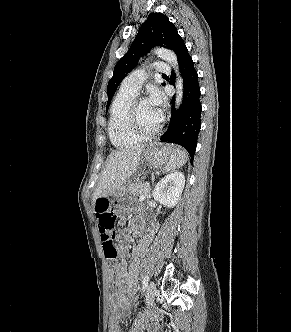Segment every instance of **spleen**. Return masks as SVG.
<instances>
[{"instance_id":"spleen-1","label":"spleen","mask_w":291,"mask_h":332,"mask_svg":"<svg viewBox=\"0 0 291 332\" xmlns=\"http://www.w3.org/2000/svg\"><path fill=\"white\" fill-rule=\"evenodd\" d=\"M188 156L187 153L178 148L177 149V155L174 156L169 163L165 166L164 171L165 172H169L171 170H175L177 168H180L181 166H183L186 162H187Z\"/></svg>"}]
</instances>
